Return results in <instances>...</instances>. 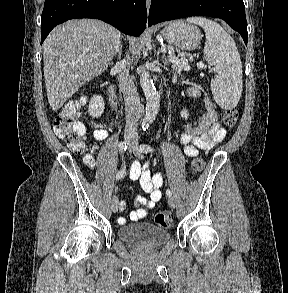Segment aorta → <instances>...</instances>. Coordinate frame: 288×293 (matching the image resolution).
Returning <instances> with one entry per match:
<instances>
[{
	"mask_svg": "<svg viewBox=\"0 0 288 293\" xmlns=\"http://www.w3.org/2000/svg\"><path fill=\"white\" fill-rule=\"evenodd\" d=\"M140 83L146 98V111L142 121V127L148 128L158 114L160 95L154 86L149 72L145 68L140 70Z\"/></svg>",
	"mask_w": 288,
	"mask_h": 293,
	"instance_id": "1",
	"label": "aorta"
}]
</instances>
